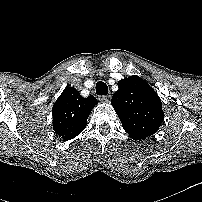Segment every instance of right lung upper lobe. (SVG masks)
I'll return each mask as SVG.
<instances>
[{"mask_svg": "<svg viewBox=\"0 0 202 202\" xmlns=\"http://www.w3.org/2000/svg\"><path fill=\"white\" fill-rule=\"evenodd\" d=\"M96 104L94 96L83 98L74 87H66L52 108L55 133L65 141L75 138L85 129Z\"/></svg>", "mask_w": 202, "mask_h": 202, "instance_id": "1", "label": "right lung upper lobe"}]
</instances>
